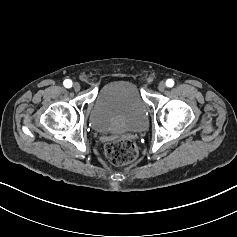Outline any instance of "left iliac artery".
<instances>
[{"label":"left iliac artery","instance_id":"44dca946","mask_svg":"<svg viewBox=\"0 0 237 237\" xmlns=\"http://www.w3.org/2000/svg\"><path fill=\"white\" fill-rule=\"evenodd\" d=\"M173 85H174V81H173L172 79H168V80L166 81V86H167V87H173Z\"/></svg>","mask_w":237,"mask_h":237}]
</instances>
